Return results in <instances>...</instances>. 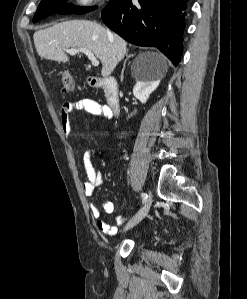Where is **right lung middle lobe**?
I'll return each mask as SVG.
<instances>
[{
	"instance_id": "dd1d6c3e",
	"label": "right lung middle lobe",
	"mask_w": 247,
	"mask_h": 299,
	"mask_svg": "<svg viewBox=\"0 0 247 299\" xmlns=\"http://www.w3.org/2000/svg\"><path fill=\"white\" fill-rule=\"evenodd\" d=\"M67 0H41L37 12L33 17V22L41 20L51 14H84L97 7H76L72 4H65ZM117 0H110L109 3Z\"/></svg>"
}]
</instances>
